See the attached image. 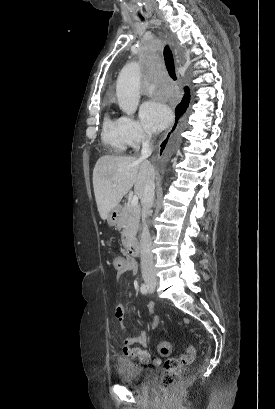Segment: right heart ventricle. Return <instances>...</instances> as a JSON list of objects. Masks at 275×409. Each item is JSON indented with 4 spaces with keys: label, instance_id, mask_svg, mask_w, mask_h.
<instances>
[{
    "label": "right heart ventricle",
    "instance_id": "1",
    "mask_svg": "<svg viewBox=\"0 0 275 409\" xmlns=\"http://www.w3.org/2000/svg\"><path fill=\"white\" fill-rule=\"evenodd\" d=\"M102 140L111 154L119 155L126 152L128 144L120 120H112L108 116L105 117Z\"/></svg>",
    "mask_w": 275,
    "mask_h": 409
}]
</instances>
